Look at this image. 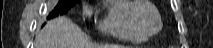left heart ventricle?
Here are the masks:
<instances>
[{"mask_svg":"<svg viewBox=\"0 0 213 48\" xmlns=\"http://www.w3.org/2000/svg\"><path fill=\"white\" fill-rule=\"evenodd\" d=\"M139 22L142 28L148 32L152 33L155 32L158 28V20L154 12L149 8H144L138 14Z\"/></svg>","mask_w":213,"mask_h":48,"instance_id":"obj_1","label":"left heart ventricle"}]
</instances>
